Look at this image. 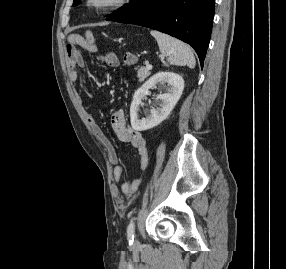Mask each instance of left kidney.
<instances>
[{
  "instance_id": "left-kidney-1",
  "label": "left kidney",
  "mask_w": 286,
  "mask_h": 269,
  "mask_svg": "<svg viewBox=\"0 0 286 269\" xmlns=\"http://www.w3.org/2000/svg\"><path fill=\"white\" fill-rule=\"evenodd\" d=\"M158 83H167L169 86L167 93L157 96V100L161 101L160 107L150 110V114H148L146 118L139 119L138 111L142 100L150 94L149 89L155 87ZM183 89L184 80L176 73L159 72L153 75L133 96V101L130 106L132 128L137 131H145L159 125L173 110L182 95Z\"/></svg>"
}]
</instances>
